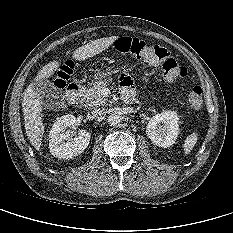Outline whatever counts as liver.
<instances>
[{
    "instance_id": "obj_1",
    "label": "liver",
    "mask_w": 233,
    "mask_h": 233,
    "mask_svg": "<svg viewBox=\"0 0 233 233\" xmlns=\"http://www.w3.org/2000/svg\"><path fill=\"white\" fill-rule=\"evenodd\" d=\"M118 38L119 36H111L91 41L86 45L77 48L73 52L72 57L73 59L79 61L91 58L109 48ZM59 64L60 63L58 61H52L45 65L38 72L34 81L27 87L24 93L22 107L25 121V130L30 143L36 150H39L41 146L44 134V125L41 115L42 101L40 95L34 90V84L39 80H44L51 77L59 68Z\"/></svg>"
}]
</instances>
